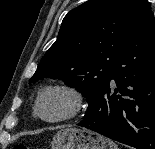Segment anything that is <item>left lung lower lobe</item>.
Returning <instances> with one entry per match:
<instances>
[{"label": "left lung lower lobe", "mask_w": 155, "mask_h": 149, "mask_svg": "<svg viewBox=\"0 0 155 149\" xmlns=\"http://www.w3.org/2000/svg\"><path fill=\"white\" fill-rule=\"evenodd\" d=\"M117 85L111 94L109 84ZM120 93L117 95L116 93ZM79 126L137 149H155V23L149 13L118 53Z\"/></svg>", "instance_id": "1"}]
</instances>
